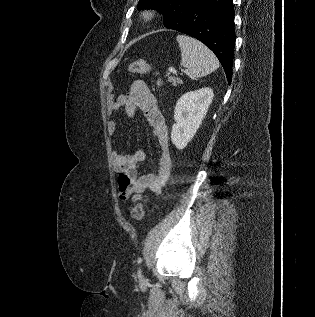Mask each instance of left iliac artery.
Listing matches in <instances>:
<instances>
[{"instance_id": "left-iliac-artery-1", "label": "left iliac artery", "mask_w": 315, "mask_h": 317, "mask_svg": "<svg viewBox=\"0 0 315 317\" xmlns=\"http://www.w3.org/2000/svg\"><path fill=\"white\" fill-rule=\"evenodd\" d=\"M141 261H142V259H141V258H139V259H138V261H137V262H138V264H140V263H141Z\"/></svg>"}]
</instances>
